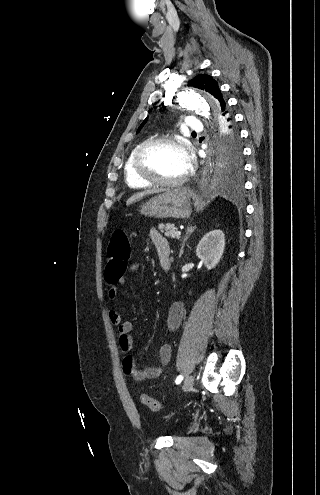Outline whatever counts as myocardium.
<instances>
[{
    "instance_id": "f54148a6",
    "label": "myocardium",
    "mask_w": 320,
    "mask_h": 495,
    "mask_svg": "<svg viewBox=\"0 0 320 495\" xmlns=\"http://www.w3.org/2000/svg\"><path fill=\"white\" fill-rule=\"evenodd\" d=\"M160 144H173V145L180 147L185 152L187 158L190 160L191 150H190L189 144L185 140L178 138V137L169 136V135L152 138V139H149V140L145 141L144 143H142L138 147V149L134 155L133 169H134L135 174L139 178H141L142 180H145V181H147L153 185L173 187V186H177V185L182 184L183 182L186 181L190 171L192 170L191 164H189L185 174L183 176H181L180 178L175 179V180H168V179L159 178V177L155 176L153 173H151V171H149V169L146 167V165L144 163V158H145L146 153L151 148H153L157 145H160Z\"/></svg>"
}]
</instances>
